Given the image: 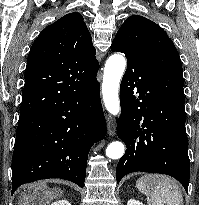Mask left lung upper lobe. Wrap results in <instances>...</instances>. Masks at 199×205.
<instances>
[{
	"instance_id": "5c2ea615",
	"label": "left lung upper lobe",
	"mask_w": 199,
	"mask_h": 205,
	"mask_svg": "<svg viewBox=\"0 0 199 205\" xmlns=\"http://www.w3.org/2000/svg\"><path fill=\"white\" fill-rule=\"evenodd\" d=\"M115 46L137 56L167 88L184 95L179 54L159 25L142 16H130L118 30L111 50Z\"/></svg>"
}]
</instances>
